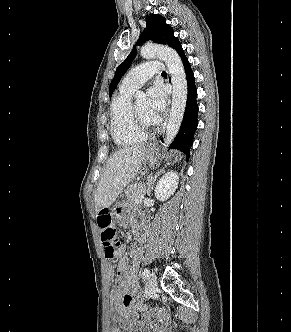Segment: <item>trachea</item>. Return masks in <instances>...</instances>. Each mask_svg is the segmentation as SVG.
Returning <instances> with one entry per match:
<instances>
[{
	"label": "trachea",
	"instance_id": "1",
	"mask_svg": "<svg viewBox=\"0 0 291 332\" xmlns=\"http://www.w3.org/2000/svg\"><path fill=\"white\" fill-rule=\"evenodd\" d=\"M162 75H166V72H163Z\"/></svg>",
	"mask_w": 291,
	"mask_h": 332
}]
</instances>
